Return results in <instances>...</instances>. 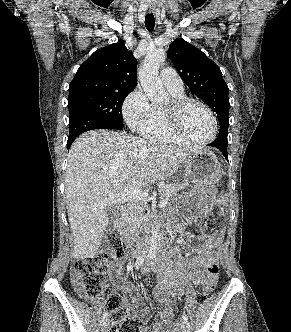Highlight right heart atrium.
Instances as JSON below:
<instances>
[{"label":"right heart atrium","mask_w":291,"mask_h":332,"mask_svg":"<svg viewBox=\"0 0 291 332\" xmlns=\"http://www.w3.org/2000/svg\"><path fill=\"white\" fill-rule=\"evenodd\" d=\"M123 117L130 129L142 132L154 122L153 106L141 88H135L123 103Z\"/></svg>","instance_id":"1"}]
</instances>
